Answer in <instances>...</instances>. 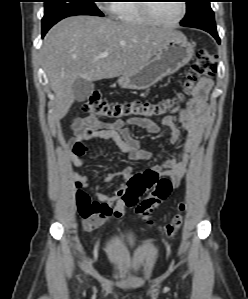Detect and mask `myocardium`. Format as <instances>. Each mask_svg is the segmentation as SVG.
Returning <instances> with one entry per match:
<instances>
[{
  "label": "myocardium",
  "mask_w": 248,
  "mask_h": 299,
  "mask_svg": "<svg viewBox=\"0 0 248 299\" xmlns=\"http://www.w3.org/2000/svg\"><path fill=\"white\" fill-rule=\"evenodd\" d=\"M181 4V13L179 17L171 22H164L161 21L152 11V7L154 3H143L141 4V9L145 14L146 18L153 24L164 26V27H174L181 23L186 16L187 13V6L184 0H179ZM145 2H152V1H145Z\"/></svg>",
  "instance_id": "f54148a6"
}]
</instances>
